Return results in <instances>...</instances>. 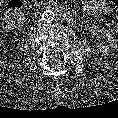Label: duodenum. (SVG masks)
Returning <instances> with one entry per match:
<instances>
[{"instance_id": "1", "label": "duodenum", "mask_w": 118, "mask_h": 118, "mask_svg": "<svg viewBox=\"0 0 118 118\" xmlns=\"http://www.w3.org/2000/svg\"><path fill=\"white\" fill-rule=\"evenodd\" d=\"M50 7H52L56 11H58L64 18H66L68 20H72L73 19V13L66 6H63V5H60V4H53Z\"/></svg>"}]
</instances>
